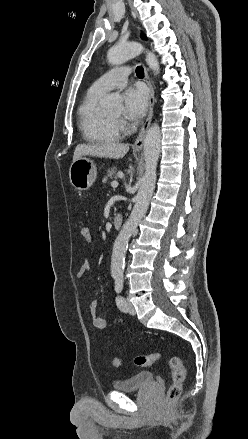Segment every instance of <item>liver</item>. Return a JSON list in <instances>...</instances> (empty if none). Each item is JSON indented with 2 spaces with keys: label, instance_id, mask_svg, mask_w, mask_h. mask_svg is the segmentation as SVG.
<instances>
[{
  "label": "liver",
  "instance_id": "liver-1",
  "mask_svg": "<svg viewBox=\"0 0 248 439\" xmlns=\"http://www.w3.org/2000/svg\"><path fill=\"white\" fill-rule=\"evenodd\" d=\"M129 151V144L119 142H102L96 144H78L74 151L73 161L82 156H96L120 159Z\"/></svg>",
  "mask_w": 248,
  "mask_h": 439
}]
</instances>
